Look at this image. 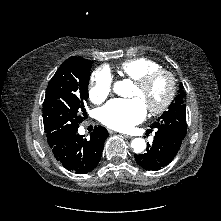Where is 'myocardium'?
<instances>
[{
  "instance_id": "f54148a6",
  "label": "myocardium",
  "mask_w": 221,
  "mask_h": 221,
  "mask_svg": "<svg viewBox=\"0 0 221 221\" xmlns=\"http://www.w3.org/2000/svg\"><path fill=\"white\" fill-rule=\"evenodd\" d=\"M161 76L166 77L168 80V92L160 105L147 107L148 111L154 115L165 112L169 108V106L171 105V103L173 102L175 98L176 90H177V83H176V78L174 74L169 70L159 68L157 70H154L144 75L143 77L135 81V85L139 89L143 90L147 88L158 77H161Z\"/></svg>"
}]
</instances>
